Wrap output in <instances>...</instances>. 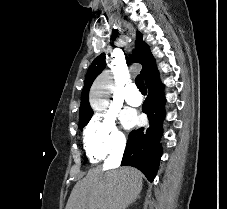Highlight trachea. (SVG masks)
I'll use <instances>...</instances> for the list:
<instances>
[{
	"label": "trachea",
	"mask_w": 227,
	"mask_h": 209,
	"mask_svg": "<svg viewBox=\"0 0 227 209\" xmlns=\"http://www.w3.org/2000/svg\"><path fill=\"white\" fill-rule=\"evenodd\" d=\"M135 83H136V86L138 87V89L140 91H147V88L145 86V83L143 81V78L141 77V75H137L136 79H135Z\"/></svg>",
	"instance_id": "trachea-1"
}]
</instances>
